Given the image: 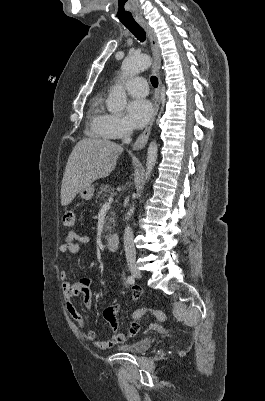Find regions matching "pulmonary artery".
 Segmentation results:
<instances>
[{"instance_id": "e3ab8cb5", "label": "pulmonary artery", "mask_w": 265, "mask_h": 401, "mask_svg": "<svg viewBox=\"0 0 265 401\" xmlns=\"http://www.w3.org/2000/svg\"><path fill=\"white\" fill-rule=\"evenodd\" d=\"M142 70L139 69L136 74L140 73ZM124 88L128 90L129 94L133 95L134 101H143L144 97L148 94L147 82L143 81L142 75H132L131 81H126L124 83Z\"/></svg>"}]
</instances>
